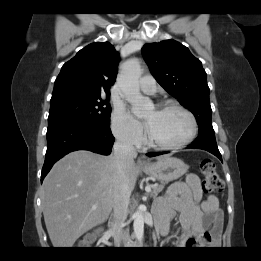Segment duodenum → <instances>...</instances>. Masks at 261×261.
Instances as JSON below:
<instances>
[{
	"mask_svg": "<svg viewBox=\"0 0 261 261\" xmlns=\"http://www.w3.org/2000/svg\"><path fill=\"white\" fill-rule=\"evenodd\" d=\"M160 231H161V230H160ZM157 232H159V230H158ZM116 234H117L116 228H115V227H112V228H111V231H107V232L102 233V236L114 237Z\"/></svg>",
	"mask_w": 261,
	"mask_h": 261,
	"instance_id": "obj_1",
	"label": "duodenum"
}]
</instances>
